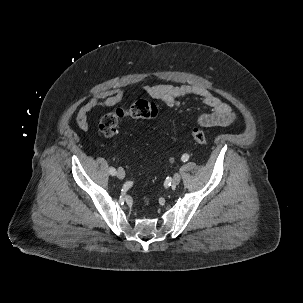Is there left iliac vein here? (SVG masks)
I'll return each instance as SVG.
<instances>
[{"label": "left iliac vein", "mask_w": 303, "mask_h": 303, "mask_svg": "<svg viewBox=\"0 0 303 303\" xmlns=\"http://www.w3.org/2000/svg\"><path fill=\"white\" fill-rule=\"evenodd\" d=\"M180 180H181L180 173H175L174 176H173V178H172V181H171L172 186L178 185L180 183Z\"/></svg>", "instance_id": "4c4485c4"}]
</instances>
